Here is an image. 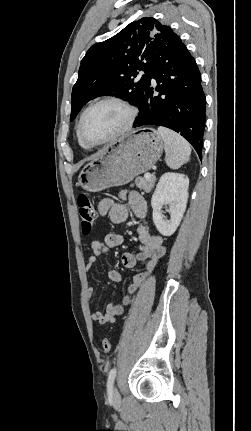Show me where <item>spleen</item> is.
<instances>
[{
  "label": "spleen",
  "mask_w": 251,
  "mask_h": 431,
  "mask_svg": "<svg viewBox=\"0 0 251 431\" xmlns=\"http://www.w3.org/2000/svg\"><path fill=\"white\" fill-rule=\"evenodd\" d=\"M157 133L164 142L165 161L170 168L177 169L190 160V145L181 135L165 127H158Z\"/></svg>",
  "instance_id": "spleen-1"
}]
</instances>
